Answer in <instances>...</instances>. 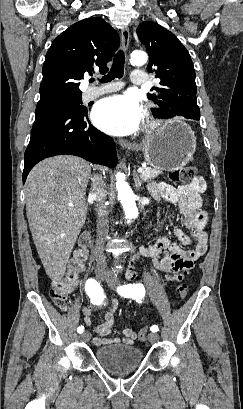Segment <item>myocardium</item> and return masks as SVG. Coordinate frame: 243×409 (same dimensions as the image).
I'll list each match as a JSON object with an SVG mask.
<instances>
[{"instance_id":"obj_1","label":"myocardium","mask_w":243,"mask_h":409,"mask_svg":"<svg viewBox=\"0 0 243 409\" xmlns=\"http://www.w3.org/2000/svg\"><path fill=\"white\" fill-rule=\"evenodd\" d=\"M146 126L149 129L156 127V122L153 120L149 112L146 113Z\"/></svg>"}]
</instances>
